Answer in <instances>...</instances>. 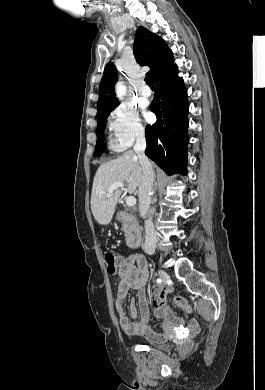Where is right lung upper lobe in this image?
<instances>
[{
  "label": "right lung upper lobe",
  "mask_w": 265,
  "mask_h": 390,
  "mask_svg": "<svg viewBox=\"0 0 265 390\" xmlns=\"http://www.w3.org/2000/svg\"><path fill=\"white\" fill-rule=\"evenodd\" d=\"M134 55L140 65L149 66L148 73L154 80L173 66L172 51L168 49L164 40L142 26L136 31ZM116 81V67L113 63H108L99 88L97 118L118 106L119 102L114 93Z\"/></svg>",
  "instance_id": "1"
}]
</instances>
